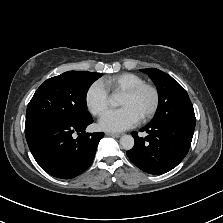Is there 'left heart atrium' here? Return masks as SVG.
<instances>
[{
  "label": "left heart atrium",
  "instance_id": "left-heart-atrium-1",
  "mask_svg": "<svg viewBox=\"0 0 223 223\" xmlns=\"http://www.w3.org/2000/svg\"><path fill=\"white\" fill-rule=\"evenodd\" d=\"M139 116L130 107L106 112L100 119V127L106 131H123L139 122Z\"/></svg>",
  "mask_w": 223,
  "mask_h": 223
}]
</instances>
